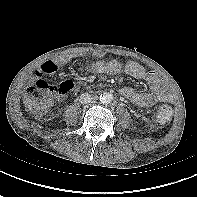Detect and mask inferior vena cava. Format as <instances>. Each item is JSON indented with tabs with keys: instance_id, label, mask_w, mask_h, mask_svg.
<instances>
[{
	"instance_id": "obj_1",
	"label": "inferior vena cava",
	"mask_w": 197,
	"mask_h": 197,
	"mask_svg": "<svg viewBox=\"0 0 197 197\" xmlns=\"http://www.w3.org/2000/svg\"><path fill=\"white\" fill-rule=\"evenodd\" d=\"M79 101L82 104H89L92 101V97L89 93H83L80 95Z\"/></svg>"
}]
</instances>
